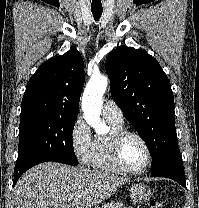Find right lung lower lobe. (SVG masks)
<instances>
[{
    "instance_id": "right-lung-lower-lobe-1",
    "label": "right lung lower lobe",
    "mask_w": 199,
    "mask_h": 208,
    "mask_svg": "<svg viewBox=\"0 0 199 208\" xmlns=\"http://www.w3.org/2000/svg\"><path fill=\"white\" fill-rule=\"evenodd\" d=\"M33 166H34V165H33ZM31 167H32V166H31ZM31 167H28V168H26V169H24V170H21V171H16V172H14L13 186H15V184H16L17 180L19 179V177H20L26 170H28V169L31 168Z\"/></svg>"
}]
</instances>
